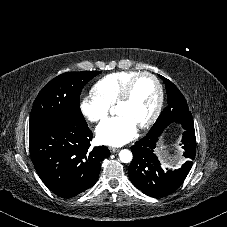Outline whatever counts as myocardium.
<instances>
[{
    "label": "myocardium",
    "instance_id": "f54148a6",
    "mask_svg": "<svg viewBox=\"0 0 227 227\" xmlns=\"http://www.w3.org/2000/svg\"><path fill=\"white\" fill-rule=\"evenodd\" d=\"M141 77H149L154 82L156 89H157V102H156L153 113L145 122H143L142 124H140L138 126L140 129H145L155 123V121L157 120V118L161 112L162 105H163V100H164L163 87H162V84H161L159 78L156 75H154L153 73L148 72V71H142V72L137 73L135 76H133L127 82V84L125 85L120 96L116 100L114 106L117 107L118 105L126 103L130 99L134 86H135L136 82L138 81V79H140Z\"/></svg>",
    "mask_w": 227,
    "mask_h": 227
}]
</instances>
